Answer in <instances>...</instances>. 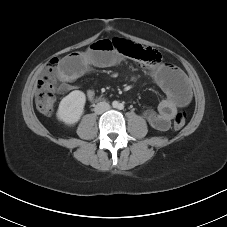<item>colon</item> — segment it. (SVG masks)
<instances>
[{
    "instance_id": "5ec220e1",
    "label": "colon",
    "mask_w": 227,
    "mask_h": 227,
    "mask_svg": "<svg viewBox=\"0 0 227 227\" xmlns=\"http://www.w3.org/2000/svg\"><path fill=\"white\" fill-rule=\"evenodd\" d=\"M108 40L114 44L117 51L148 67L156 66L161 61V54L150 47H143L125 39ZM60 63L61 61L58 58L51 59L47 66L48 72L54 71ZM36 88V106L38 110L44 115H51L54 111L55 91L50 74L42 76L38 80ZM186 118L185 112H178L174 117V128H182L186 123Z\"/></svg>"
}]
</instances>
